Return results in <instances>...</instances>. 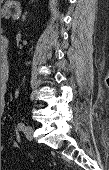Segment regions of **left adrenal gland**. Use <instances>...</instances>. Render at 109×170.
<instances>
[{"label": "left adrenal gland", "mask_w": 109, "mask_h": 170, "mask_svg": "<svg viewBox=\"0 0 109 170\" xmlns=\"http://www.w3.org/2000/svg\"><path fill=\"white\" fill-rule=\"evenodd\" d=\"M25 17H26V14H24L23 17H22V20H23V21L25 20Z\"/></svg>", "instance_id": "a2214340"}]
</instances>
